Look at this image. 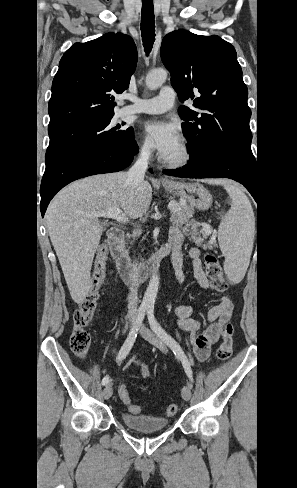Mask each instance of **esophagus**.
<instances>
[{
	"label": "esophagus",
	"instance_id": "esophagus-1",
	"mask_svg": "<svg viewBox=\"0 0 297 488\" xmlns=\"http://www.w3.org/2000/svg\"><path fill=\"white\" fill-rule=\"evenodd\" d=\"M160 180H161V182H162L163 184H165V185H167V184H170V183H171V182H170V180H168V179H166V178H161Z\"/></svg>",
	"mask_w": 297,
	"mask_h": 488
}]
</instances>
